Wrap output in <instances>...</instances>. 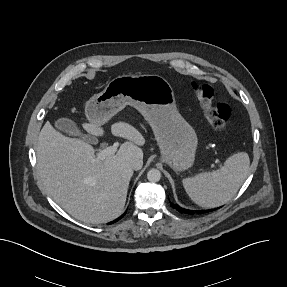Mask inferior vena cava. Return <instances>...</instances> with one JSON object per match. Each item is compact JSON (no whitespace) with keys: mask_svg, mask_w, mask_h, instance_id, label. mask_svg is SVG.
Wrapping results in <instances>:
<instances>
[{"mask_svg":"<svg viewBox=\"0 0 287 287\" xmlns=\"http://www.w3.org/2000/svg\"><path fill=\"white\" fill-rule=\"evenodd\" d=\"M129 167L133 170H140L143 165L142 159L133 158L128 163Z\"/></svg>","mask_w":287,"mask_h":287,"instance_id":"inferior-vena-cava-1","label":"inferior vena cava"}]
</instances>
